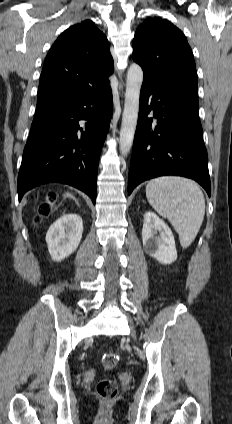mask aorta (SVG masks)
Instances as JSON below:
<instances>
[{"mask_svg":"<svg viewBox=\"0 0 232 424\" xmlns=\"http://www.w3.org/2000/svg\"><path fill=\"white\" fill-rule=\"evenodd\" d=\"M143 71L138 64H132L127 73L124 111L120 130L119 151L127 156L131 150L139 112L140 89Z\"/></svg>","mask_w":232,"mask_h":424,"instance_id":"762f6f07","label":"aorta"}]
</instances>
